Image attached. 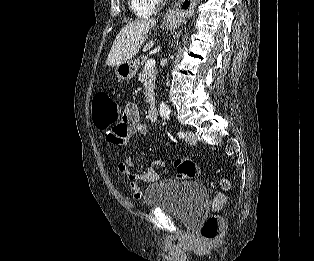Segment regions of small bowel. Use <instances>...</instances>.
Listing matches in <instances>:
<instances>
[{"mask_svg":"<svg viewBox=\"0 0 314 261\" xmlns=\"http://www.w3.org/2000/svg\"><path fill=\"white\" fill-rule=\"evenodd\" d=\"M147 133V126L140 122L137 106L130 103L125 107L120 123L104 133V140H109L113 148H120L125 146L133 135H145ZM157 166L165 167V162L162 159H154L143 165L140 171L133 172L134 162L128 156L117 164V171L127 179L133 198L138 200L143 196L139 183L149 184L159 179L160 176L155 170Z\"/></svg>","mask_w":314,"mask_h":261,"instance_id":"1","label":"small bowel"}]
</instances>
